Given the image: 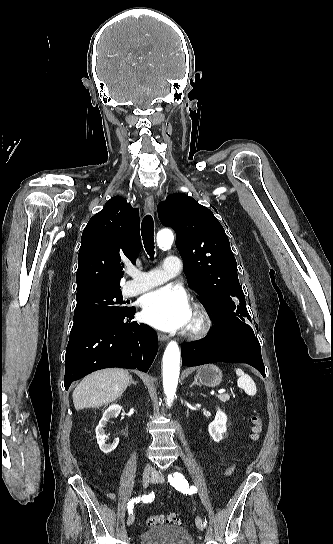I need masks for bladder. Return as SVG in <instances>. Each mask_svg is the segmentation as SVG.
Instances as JSON below:
<instances>
[{
  "label": "bladder",
  "mask_w": 333,
  "mask_h": 544,
  "mask_svg": "<svg viewBox=\"0 0 333 544\" xmlns=\"http://www.w3.org/2000/svg\"><path fill=\"white\" fill-rule=\"evenodd\" d=\"M139 544H194V540L183 527L163 525L142 532Z\"/></svg>",
  "instance_id": "1"
}]
</instances>
